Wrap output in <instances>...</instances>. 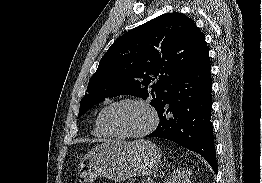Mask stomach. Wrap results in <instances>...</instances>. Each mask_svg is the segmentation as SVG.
Listing matches in <instances>:
<instances>
[{"label":"stomach","instance_id":"obj_1","mask_svg":"<svg viewBox=\"0 0 262 183\" xmlns=\"http://www.w3.org/2000/svg\"><path fill=\"white\" fill-rule=\"evenodd\" d=\"M161 157V150L149 140L110 139L87 152L76 171L86 183H92L98 176L123 181L155 173Z\"/></svg>","mask_w":262,"mask_h":183}]
</instances>
